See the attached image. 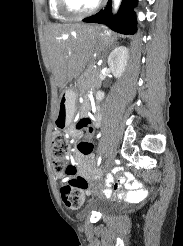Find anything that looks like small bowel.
Here are the masks:
<instances>
[{"label":"small bowel","instance_id":"small-bowel-1","mask_svg":"<svg viewBox=\"0 0 183 246\" xmlns=\"http://www.w3.org/2000/svg\"><path fill=\"white\" fill-rule=\"evenodd\" d=\"M68 133L73 137L77 136V131L74 128H70ZM85 139L91 140V138ZM73 159L78 168L79 175L84 177L86 180L95 177L93 173L94 157H84V155H81V152H77L76 150L74 152ZM116 168L117 169H111V174H116V178L108 176V180L111 182H107L106 186L103 187L105 195L109 196V198H117V196H119L128 200L148 198L149 195L141 188V184L133 180L134 174H122V170L125 168L124 165H117ZM125 181L126 184L124 188L123 183H125ZM113 191H116V193ZM85 192L89 193V190H86Z\"/></svg>","mask_w":183,"mask_h":246}]
</instances>
